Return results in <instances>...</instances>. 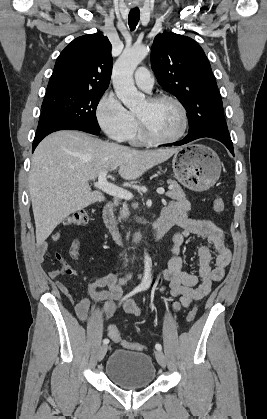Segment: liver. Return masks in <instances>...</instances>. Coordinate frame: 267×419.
I'll list each match as a JSON object with an SVG mask.
<instances>
[{"instance_id": "6515ba94", "label": "liver", "mask_w": 267, "mask_h": 419, "mask_svg": "<svg viewBox=\"0 0 267 419\" xmlns=\"http://www.w3.org/2000/svg\"><path fill=\"white\" fill-rule=\"evenodd\" d=\"M178 150H136L78 131L50 134L34 151L29 172L37 243H44L73 212L105 200L88 183L101 171L119 167L123 179L135 180Z\"/></svg>"}]
</instances>
